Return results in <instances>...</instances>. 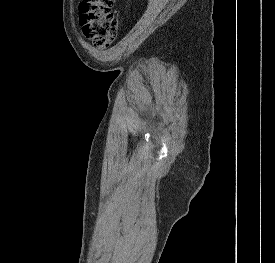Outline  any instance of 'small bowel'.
Returning a JSON list of instances; mask_svg holds the SVG:
<instances>
[{
	"label": "small bowel",
	"instance_id": "c3829d8e",
	"mask_svg": "<svg viewBox=\"0 0 275 263\" xmlns=\"http://www.w3.org/2000/svg\"><path fill=\"white\" fill-rule=\"evenodd\" d=\"M102 47H103V46H98L97 48L100 49V48H102Z\"/></svg>",
	"mask_w": 275,
	"mask_h": 263
}]
</instances>
